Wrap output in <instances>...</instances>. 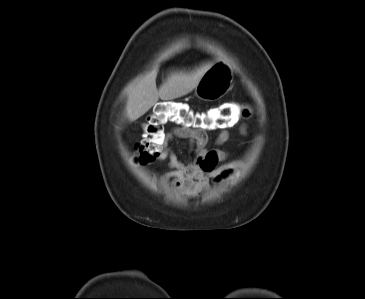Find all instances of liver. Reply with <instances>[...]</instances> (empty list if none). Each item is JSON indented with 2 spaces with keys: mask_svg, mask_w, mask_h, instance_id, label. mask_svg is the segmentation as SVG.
Listing matches in <instances>:
<instances>
[{
  "mask_svg": "<svg viewBox=\"0 0 365 299\" xmlns=\"http://www.w3.org/2000/svg\"><path fill=\"white\" fill-rule=\"evenodd\" d=\"M206 63L190 73H171L166 81L156 87L157 71H152L132 84L128 91L125 116L134 122L144 115L158 100H172L187 95L199 83L201 77L212 66Z\"/></svg>",
  "mask_w": 365,
  "mask_h": 299,
  "instance_id": "liver-1",
  "label": "liver"
}]
</instances>
